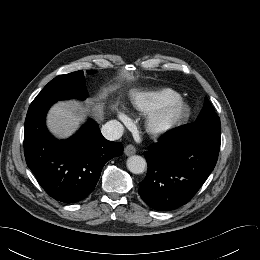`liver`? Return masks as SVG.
Instances as JSON below:
<instances>
[{
    "label": "liver",
    "instance_id": "liver-1",
    "mask_svg": "<svg viewBox=\"0 0 260 260\" xmlns=\"http://www.w3.org/2000/svg\"><path fill=\"white\" fill-rule=\"evenodd\" d=\"M92 105L94 116L98 120L103 119L104 104L98 102V99L86 101ZM87 109H84L77 101H60L49 111L47 125L49 130L59 138L71 136L84 122Z\"/></svg>",
    "mask_w": 260,
    "mask_h": 260
}]
</instances>
